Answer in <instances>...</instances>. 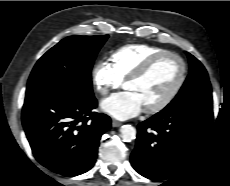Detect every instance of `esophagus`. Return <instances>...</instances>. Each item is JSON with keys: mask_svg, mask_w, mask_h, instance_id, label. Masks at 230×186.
Returning <instances> with one entry per match:
<instances>
[{"mask_svg": "<svg viewBox=\"0 0 230 186\" xmlns=\"http://www.w3.org/2000/svg\"><path fill=\"white\" fill-rule=\"evenodd\" d=\"M121 125H122V123L119 122V121H117V120H113V121H112V126H113V127H120Z\"/></svg>", "mask_w": 230, "mask_h": 186, "instance_id": "34e87169", "label": "esophagus"}]
</instances>
